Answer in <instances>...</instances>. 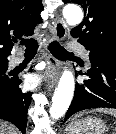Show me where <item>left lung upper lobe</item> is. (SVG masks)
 <instances>
[{"label": "left lung upper lobe", "instance_id": "left-lung-upper-lobe-1", "mask_svg": "<svg viewBox=\"0 0 116 134\" xmlns=\"http://www.w3.org/2000/svg\"><path fill=\"white\" fill-rule=\"evenodd\" d=\"M70 3L69 0H63ZM85 13L84 21L71 31L90 51L89 56L116 58V0H74Z\"/></svg>", "mask_w": 116, "mask_h": 134}]
</instances>
